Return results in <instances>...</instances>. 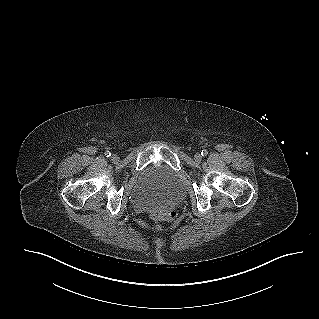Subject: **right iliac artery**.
Masks as SVG:
<instances>
[{"label":"right iliac artery","instance_id":"82829eb1","mask_svg":"<svg viewBox=\"0 0 319 319\" xmlns=\"http://www.w3.org/2000/svg\"><path fill=\"white\" fill-rule=\"evenodd\" d=\"M105 155H106V157H110V156H111V153H110L109 151H106V152H105Z\"/></svg>","mask_w":319,"mask_h":319}]
</instances>
